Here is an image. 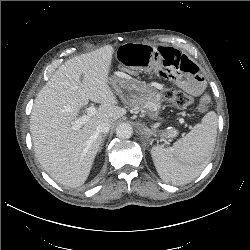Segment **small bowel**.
I'll return each instance as SVG.
<instances>
[{"instance_id": "1", "label": "small bowel", "mask_w": 250, "mask_h": 250, "mask_svg": "<svg viewBox=\"0 0 250 250\" xmlns=\"http://www.w3.org/2000/svg\"><path fill=\"white\" fill-rule=\"evenodd\" d=\"M119 69L130 76H156L197 95L205 83L195 63L179 51L166 47L126 44L116 53Z\"/></svg>"}]
</instances>
